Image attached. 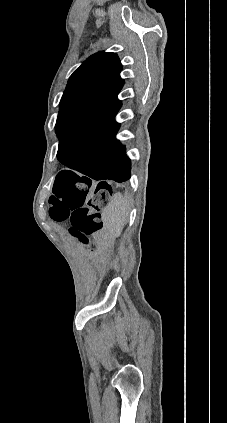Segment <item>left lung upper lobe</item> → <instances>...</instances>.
I'll list each match as a JSON object with an SVG mask.
<instances>
[{
    "label": "left lung upper lobe",
    "mask_w": 227,
    "mask_h": 423,
    "mask_svg": "<svg viewBox=\"0 0 227 423\" xmlns=\"http://www.w3.org/2000/svg\"><path fill=\"white\" fill-rule=\"evenodd\" d=\"M121 70L115 53L98 52L70 76L55 127L60 140L118 112L121 102L117 95L124 84Z\"/></svg>",
    "instance_id": "left-lung-upper-lobe-1"
}]
</instances>
